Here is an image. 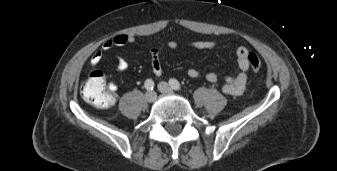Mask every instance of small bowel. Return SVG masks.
Masks as SVG:
<instances>
[{"label": "small bowel", "instance_id": "1", "mask_svg": "<svg viewBox=\"0 0 337 171\" xmlns=\"http://www.w3.org/2000/svg\"><path fill=\"white\" fill-rule=\"evenodd\" d=\"M136 41L135 37L131 34H117L114 37L107 39L100 49H98L91 57L90 63L92 70L98 68L100 62L108 56V53L113 47H124L126 45L134 44ZM167 47L170 49H176L178 47V42L175 40H169L166 43ZM218 43L212 40H197L191 42L190 46L198 50H211L216 48ZM249 51L244 46H239L235 51L238 71L234 75H226L223 77V86L222 90L226 94L230 95H240L244 92L246 82H247V72L249 70V61H248ZM151 56V68L155 76L159 77L162 75V64L160 61L159 50L152 49L150 52ZM129 63L123 58H117L115 69L118 72H124L128 69ZM188 76L190 78L198 79L204 77L210 83H217L219 76L215 72H208L202 74L197 69H189ZM107 87L110 92L115 96L118 86L114 82H109Z\"/></svg>", "mask_w": 337, "mask_h": 171}]
</instances>
